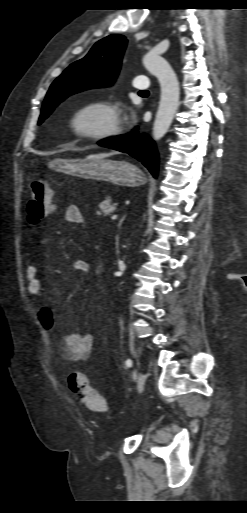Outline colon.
Wrapping results in <instances>:
<instances>
[{
	"label": "colon",
	"instance_id": "1",
	"mask_svg": "<svg viewBox=\"0 0 247 513\" xmlns=\"http://www.w3.org/2000/svg\"><path fill=\"white\" fill-rule=\"evenodd\" d=\"M54 210L53 189L45 179L32 181L27 199V218L31 224L40 223ZM68 384L79 400L89 409L106 413L109 406L106 399L93 388L83 372L73 371L68 375Z\"/></svg>",
	"mask_w": 247,
	"mask_h": 513
}]
</instances>
